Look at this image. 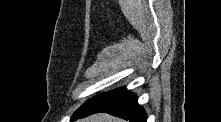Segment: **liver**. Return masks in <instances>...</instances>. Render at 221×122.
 I'll return each instance as SVG.
<instances>
[{"instance_id": "obj_1", "label": "liver", "mask_w": 221, "mask_h": 122, "mask_svg": "<svg viewBox=\"0 0 221 122\" xmlns=\"http://www.w3.org/2000/svg\"><path fill=\"white\" fill-rule=\"evenodd\" d=\"M79 122H124V121H122L119 118L113 117L111 115L100 113L81 119Z\"/></svg>"}]
</instances>
